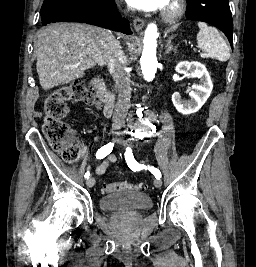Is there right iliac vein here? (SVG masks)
I'll return each mask as SVG.
<instances>
[{
  "label": "right iliac vein",
  "instance_id": "1",
  "mask_svg": "<svg viewBox=\"0 0 256 267\" xmlns=\"http://www.w3.org/2000/svg\"><path fill=\"white\" fill-rule=\"evenodd\" d=\"M113 141H115L117 138H116V135L115 134H113ZM86 184H87V186L88 187H93L94 185H95V179L92 177V178H90V179H88L87 180V182H86Z\"/></svg>",
  "mask_w": 256,
  "mask_h": 267
}]
</instances>
